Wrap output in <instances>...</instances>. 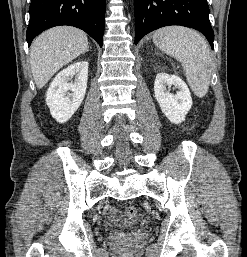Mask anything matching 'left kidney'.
<instances>
[{
    "instance_id": "1",
    "label": "left kidney",
    "mask_w": 247,
    "mask_h": 257,
    "mask_svg": "<svg viewBox=\"0 0 247 257\" xmlns=\"http://www.w3.org/2000/svg\"><path fill=\"white\" fill-rule=\"evenodd\" d=\"M179 89L176 94L170 92V87ZM154 94L164 115L174 124L185 120L192 106L191 93L186 83L177 76L159 73L154 82Z\"/></svg>"
}]
</instances>
